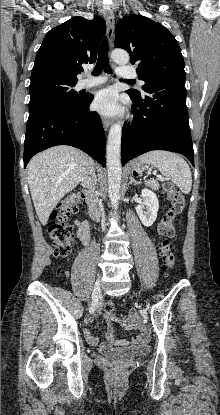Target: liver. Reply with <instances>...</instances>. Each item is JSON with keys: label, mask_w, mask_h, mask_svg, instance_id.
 I'll return each mask as SVG.
<instances>
[{"label": "liver", "mask_w": 220, "mask_h": 415, "mask_svg": "<svg viewBox=\"0 0 220 415\" xmlns=\"http://www.w3.org/2000/svg\"><path fill=\"white\" fill-rule=\"evenodd\" d=\"M92 159L70 146H55L31 159L27 166L31 197L42 225L57 203L89 176Z\"/></svg>", "instance_id": "1"}]
</instances>
